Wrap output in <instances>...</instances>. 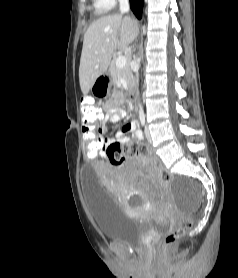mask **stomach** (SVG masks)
I'll return each mask as SVG.
<instances>
[{
	"label": "stomach",
	"mask_w": 238,
	"mask_h": 278,
	"mask_svg": "<svg viewBox=\"0 0 238 278\" xmlns=\"http://www.w3.org/2000/svg\"><path fill=\"white\" fill-rule=\"evenodd\" d=\"M108 86H112V77L107 72L100 74L97 81L92 84V95H96V99H107Z\"/></svg>",
	"instance_id": "1"
}]
</instances>
